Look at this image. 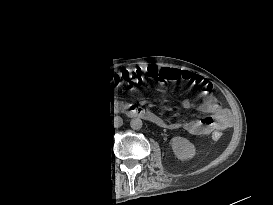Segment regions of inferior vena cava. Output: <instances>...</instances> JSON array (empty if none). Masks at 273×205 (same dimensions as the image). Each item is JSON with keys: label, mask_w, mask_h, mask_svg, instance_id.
<instances>
[{"label": "inferior vena cava", "mask_w": 273, "mask_h": 205, "mask_svg": "<svg viewBox=\"0 0 273 205\" xmlns=\"http://www.w3.org/2000/svg\"><path fill=\"white\" fill-rule=\"evenodd\" d=\"M114 127H121L123 125V119L121 117H116L113 122Z\"/></svg>", "instance_id": "inferior-vena-cava-1"}]
</instances>
